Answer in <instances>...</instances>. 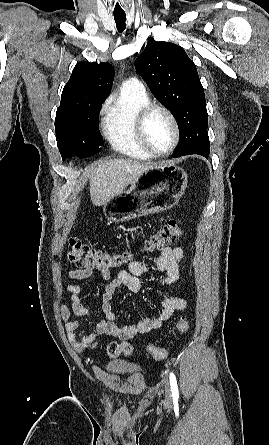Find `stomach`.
<instances>
[{
  "instance_id": "0dacf381",
  "label": "stomach",
  "mask_w": 269,
  "mask_h": 445,
  "mask_svg": "<svg viewBox=\"0 0 269 445\" xmlns=\"http://www.w3.org/2000/svg\"><path fill=\"white\" fill-rule=\"evenodd\" d=\"M184 188V174L177 166L154 165L139 175L129 190L111 198L103 212L112 222L160 213L178 203Z\"/></svg>"
}]
</instances>
